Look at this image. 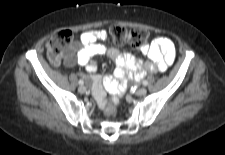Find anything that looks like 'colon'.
Wrapping results in <instances>:
<instances>
[{
    "mask_svg": "<svg viewBox=\"0 0 225 155\" xmlns=\"http://www.w3.org/2000/svg\"><path fill=\"white\" fill-rule=\"evenodd\" d=\"M111 40L119 45L131 44L140 47L149 38V32L144 29H127L120 25H112L108 30ZM73 34L69 30H61L53 34L47 41V55L53 64H59L63 58L68 59L71 55L70 47ZM116 106L109 100L105 110L108 116H114Z\"/></svg>",
    "mask_w": 225,
    "mask_h": 155,
    "instance_id": "colon-1",
    "label": "colon"
}]
</instances>
